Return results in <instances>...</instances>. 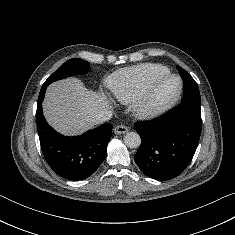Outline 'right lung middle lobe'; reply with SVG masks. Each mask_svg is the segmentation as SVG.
I'll use <instances>...</instances> for the list:
<instances>
[{"mask_svg": "<svg viewBox=\"0 0 235 235\" xmlns=\"http://www.w3.org/2000/svg\"><path fill=\"white\" fill-rule=\"evenodd\" d=\"M90 70L89 63L79 58L66 61L57 71H55L43 84L48 86L50 83L59 79H64L78 73H85Z\"/></svg>", "mask_w": 235, "mask_h": 235, "instance_id": "obj_1", "label": "right lung middle lobe"}]
</instances>
